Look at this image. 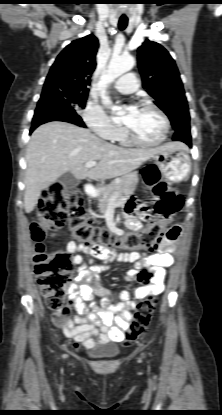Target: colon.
<instances>
[{
	"label": "colon",
	"mask_w": 222,
	"mask_h": 415,
	"mask_svg": "<svg viewBox=\"0 0 222 415\" xmlns=\"http://www.w3.org/2000/svg\"><path fill=\"white\" fill-rule=\"evenodd\" d=\"M143 178L146 188L155 199V216L142 231L121 238L95 225L89 219L75 189L55 182L43 193L38 203L36 220L31 225V233L35 242L34 270L46 305L50 309L62 308L75 264L72 255L66 251L54 253L47 251L45 240L57 229H67L75 244L94 253L114 246L131 253L141 250L151 252L167 234V224L181 207L182 197L173 187L161 180L155 166H146L143 170ZM147 209V207L143 208V210ZM148 279L149 274L146 271L139 276L141 282ZM156 305L157 300L151 296L138 302L126 337L127 345L132 344L147 329Z\"/></svg>",
	"instance_id": "1"
}]
</instances>
